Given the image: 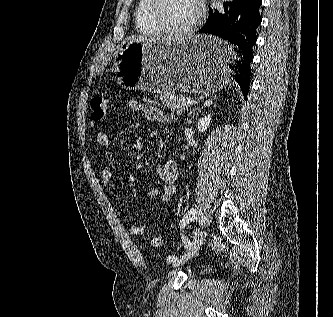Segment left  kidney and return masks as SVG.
<instances>
[{"instance_id":"left-kidney-1","label":"left kidney","mask_w":333,"mask_h":317,"mask_svg":"<svg viewBox=\"0 0 333 317\" xmlns=\"http://www.w3.org/2000/svg\"><path fill=\"white\" fill-rule=\"evenodd\" d=\"M212 120V116L210 114L202 117L201 119H199L198 121V125H197V129L199 132H204L206 131L210 124H211V121Z\"/></svg>"}]
</instances>
